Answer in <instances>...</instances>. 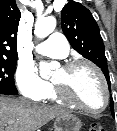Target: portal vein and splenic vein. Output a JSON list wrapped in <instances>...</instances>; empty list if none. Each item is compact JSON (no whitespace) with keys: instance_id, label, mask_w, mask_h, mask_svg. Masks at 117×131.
<instances>
[{"instance_id":"18ae733b","label":"portal vein and splenic vein","mask_w":117,"mask_h":131,"mask_svg":"<svg viewBox=\"0 0 117 131\" xmlns=\"http://www.w3.org/2000/svg\"><path fill=\"white\" fill-rule=\"evenodd\" d=\"M9 123H10V124H13V123H14V121H9Z\"/></svg>"}]
</instances>
